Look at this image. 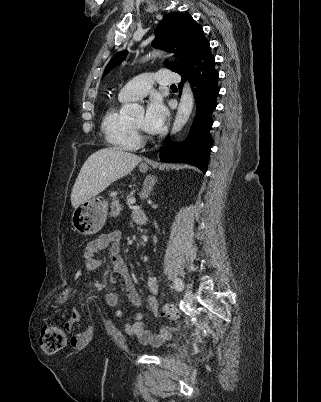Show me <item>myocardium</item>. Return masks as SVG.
Instances as JSON below:
<instances>
[{"instance_id": "1", "label": "myocardium", "mask_w": 321, "mask_h": 402, "mask_svg": "<svg viewBox=\"0 0 321 402\" xmlns=\"http://www.w3.org/2000/svg\"><path fill=\"white\" fill-rule=\"evenodd\" d=\"M130 128L132 129V131L136 134V136L138 137V139L140 141H144L147 139L146 134L144 133V131L141 128L136 127L133 123L129 122Z\"/></svg>"}]
</instances>
